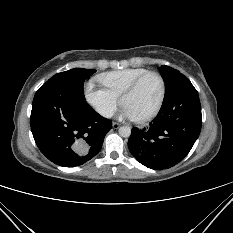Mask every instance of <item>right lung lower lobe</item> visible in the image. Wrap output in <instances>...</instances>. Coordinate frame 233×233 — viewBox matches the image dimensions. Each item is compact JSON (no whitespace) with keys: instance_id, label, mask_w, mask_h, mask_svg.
Returning <instances> with one entry per match:
<instances>
[{"instance_id":"obj_1","label":"right lung lower lobe","mask_w":233,"mask_h":233,"mask_svg":"<svg viewBox=\"0 0 233 233\" xmlns=\"http://www.w3.org/2000/svg\"><path fill=\"white\" fill-rule=\"evenodd\" d=\"M112 122L86 102L84 91L46 82L32 103L31 131L40 151L53 163L75 167L101 149Z\"/></svg>"}]
</instances>
